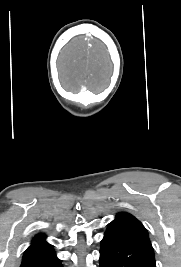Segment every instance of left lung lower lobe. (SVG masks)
Wrapping results in <instances>:
<instances>
[{"label": "left lung lower lobe", "mask_w": 181, "mask_h": 267, "mask_svg": "<svg viewBox=\"0 0 181 267\" xmlns=\"http://www.w3.org/2000/svg\"><path fill=\"white\" fill-rule=\"evenodd\" d=\"M100 267H156L150 240L128 226L109 224L101 241Z\"/></svg>", "instance_id": "obj_1"}]
</instances>
